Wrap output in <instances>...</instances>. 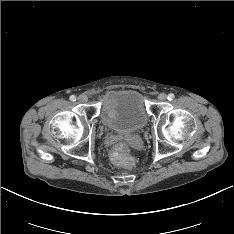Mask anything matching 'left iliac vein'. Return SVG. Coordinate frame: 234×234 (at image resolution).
I'll use <instances>...</instances> for the list:
<instances>
[{
  "label": "left iliac vein",
  "instance_id": "left-iliac-vein-1",
  "mask_svg": "<svg viewBox=\"0 0 234 234\" xmlns=\"http://www.w3.org/2000/svg\"><path fill=\"white\" fill-rule=\"evenodd\" d=\"M167 99V95L165 93H160L158 95V100L159 101H165Z\"/></svg>",
  "mask_w": 234,
  "mask_h": 234
}]
</instances>
